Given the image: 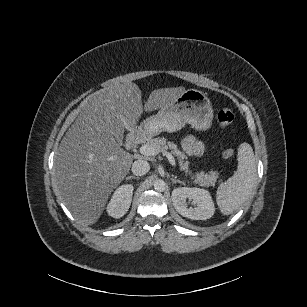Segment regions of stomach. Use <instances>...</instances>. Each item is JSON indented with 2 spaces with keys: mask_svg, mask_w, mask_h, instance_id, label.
Here are the masks:
<instances>
[{
  "mask_svg": "<svg viewBox=\"0 0 307 307\" xmlns=\"http://www.w3.org/2000/svg\"><path fill=\"white\" fill-rule=\"evenodd\" d=\"M213 108L208 97L196 89L185 90L174 102L161 107L141 123L143 130L156 136L161 132H176L186 124L197 131L211 128Z\"/></svg>",
  "mask_w": 307,
  "mask_h": 307,
  "instance_id": "stomach-1",
  "label": "stomach"
}]
</instances>
